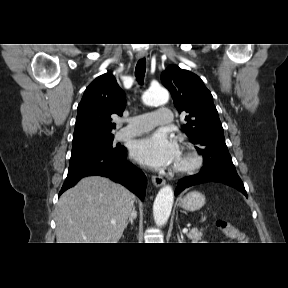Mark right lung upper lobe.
Masks as SVG:
<instances>
[{
    "label": "right lung upper lobe",
    "mask_w": 288,
    "mask_h": 288,
    "mask_svg": "<svg viewBox=\"0 0 288 288\" xmlns=\"http://www.w3.org/2000/svg\"><path fill=\"white\" fill-rule=\"evenodd\" d=\"M125 103V94L112 74L97 77L78 105L73 146L113 136L116 124L111 122V115H122Z\"/></svg>",
    "instance_id": "cb5924a9"
}]
</instances>
